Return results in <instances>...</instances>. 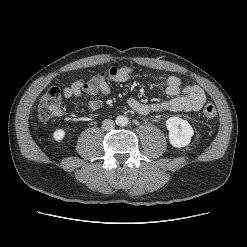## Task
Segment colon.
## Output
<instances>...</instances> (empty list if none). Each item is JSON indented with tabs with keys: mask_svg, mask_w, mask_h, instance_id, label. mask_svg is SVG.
Wrapping results in <instances>:
<instances>
[{
	"mask_svg": "<svg viewBox=\"0 0 247 247\" xmlns=\"http://www.w3.org/2000/svg\"><path fill=\"white\" fill-rule=\"evenodd\" d=\"M61 91L56 88H50L41 98L38 106V116L41 120H50L58 116L61 111ZM216 108L212 103H207L202 108V117L210 120L216 116Z\"/></svg>",
	"mask_w": 247,
	"mask_h": 247,
	"instance_id": "obj_1",
	"label": "colon"
}]
</instances>
